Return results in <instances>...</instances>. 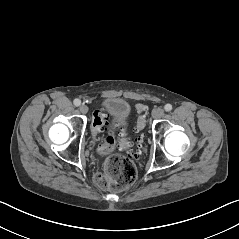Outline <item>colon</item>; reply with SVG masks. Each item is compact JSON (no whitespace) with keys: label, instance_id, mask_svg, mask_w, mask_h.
I'll use <instances>...</instances> for the list:
<instances>
[{"label":"colon","instance_id":"colon-1","mask_svg":"<svg viewBox=\"0 0 239 239\" xmlns=\"http://www.w3.org/2000/svg\"><path fill=\"white\" fill-rule=\"evenodd\" d=\"M140 117L136 124V131L140 132L145 127V115L147 108L143 104L136 106ZM109 117L101 110H96L93 114L92 132L96 136L108 124ZM142 142V138L138 139ZM114 139L107 137L105 142L99 145V150L108 153L113 149ZM137 171L131 159L122 154H110L103 165L101 172L96 174V182L105 190L121 191L132 185L136 179Z\"/></svg>","mask_w":239,"mask_h":239}]
</instances>
